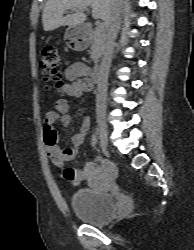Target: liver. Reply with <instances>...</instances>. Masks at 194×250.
<instances>
[{
  "label": "liver",
  "instance_id": "obj_1",
  "mask_svg": "<svg viewBox=\"0 0 194 250\" xmlns=\"http://www.w3.org/2000/svg\"><path fill=\"white\" fill-rule=\"evenodd\" d=\"M113 0H47L42 15L44 31H52L61 26L81 25L86 20L82 12L63 16L68 10H82L92 7V16L102 19L106 25Z\"/></svg>",
  "mask_w": 194,
  "mask_h": 250
}]
</instances>
